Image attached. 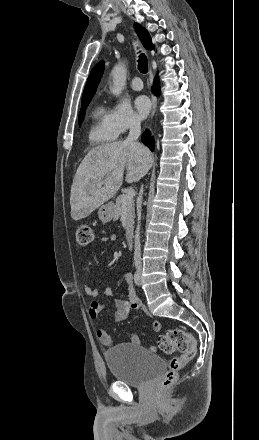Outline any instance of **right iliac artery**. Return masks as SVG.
Segmentation results:
<instances>
[{
  "instance_id": "82829eb1",
  "label": "right iliac artery",
  "mask_w": 259,
  "mask_h": 440,
  "mask_svg": "<svg viewBox=\"0 0 259 440\" xmlns=\"http://www.w3.org/2000/svg\"><path fill=\"white\" fill-rule=\"evenodd\" d=\"M134 282L136 285H139V283H140V276H139L138 272H135V274H134Z\"/></svg>"
}]
</instances>
